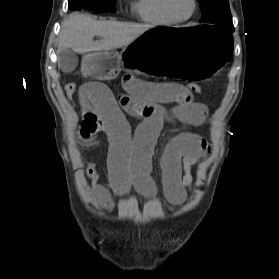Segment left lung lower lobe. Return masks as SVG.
Wrapping results in <instances>:
<instances>
[{
    "label": "left lung lower lobe",
    "instance_id": "left-lung-lower-lobe-1",
    "mask_svg": "<svg viewBox=\"0 0 279 279\" xmlns=\"http://www.w3.org/2000/svg\"><path fill=\"white\" fill-rule=\"evenodd\" d=\"M224 26H227L231 31H234L233 23L232 22H227L223 24ZM230 32L229 30H227Z\"/></svg>",
    "mask_w": 279,
    "mask_h": 279
}]
</instances>
